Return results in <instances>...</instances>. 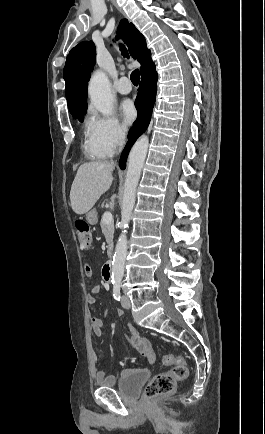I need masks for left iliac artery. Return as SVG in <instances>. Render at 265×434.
<instances>
[{"label": "left iliac artery", "mask_w": 265, "mask_h": 434, "mask_svg": "<svg viewBox=\"0 0 265 434\" xmlns=\"http://www.w3.org/2000/svg\"><path fill=\"white\" fill-rule=\"evenodd\" d=\"M120 287H121L120 282H113V297L117 301H120V297H121Z\"/></svg>", "instance_id": "obj_1"}]
</instances>
